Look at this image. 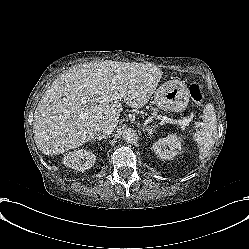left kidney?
<instances>
[{
	"label": "left kidney",
	"mask_w": 249,
	"mask_h": 249,
	"mask_svg": "<svg viewBox=\"0 0 249 249\" xmlns=\"http://www.w3.org/2000/svg\"><path fill=\"white\" fill-rule=\"evenodd\" d=\"M182 139L176 134L160 138L152 145L153 152L162 160H171L181 152Z\"/></svg>",
	"instance_id": "5707ae66"
}]
</instances>
